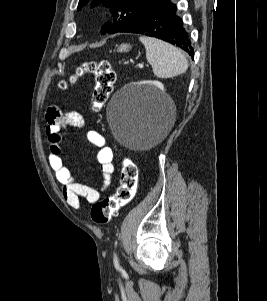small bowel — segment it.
Segmentation results:
<instances>
[{
	"instance_id": "c3829d8e",
	"label": "small bowel",
	"mask_w": 267,
	"mask_h": 301,
	"mask_svg": "<svg viewBox=\"0 0 267 301\" xmlns=\"http://www.w3.org/2000/svg\"><path fill=\"white\" fill-rule=\"evenodd\" d=\"M46 136L49 142L48 162L55 173L65 201L75 210L81 207V198L89 203H96L101 193L108 190L112 184L114 173L113 150L107 145L105 137L94 130L87 131L86 139L98 148L97 162L100 167L102 182L100 188H93L77 181L64 164L61 155L62 131L66 128L83 129L86 126L84 117L76 112H62L57 106H51L46 113Z\"/></svg>"
}]
</instances>
